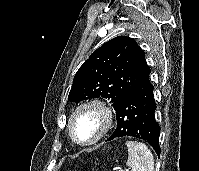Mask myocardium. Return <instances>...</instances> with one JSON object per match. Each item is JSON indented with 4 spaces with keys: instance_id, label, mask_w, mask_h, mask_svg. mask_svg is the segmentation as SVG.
Wrapping results in <instances>:
<instances>
[{
    "instance_id": "myocardium-1",
    "label": "myocardium",
    "mask_w": 199,
    "mask_h": 171,
    "mask_svg": "<svg viewBox=\"0 0 199 171\" xmlns=\"http://www.w3.org/2000/svg\"><path fill=\"white\" fill-rule=\"evenodd\" d=\"M87 109L94 110L101 118L102 124H101V128L99 132L92 140L87 141V142H82V141H79L74 134L73 121L81 111L87 110ZM113 119H114L113 110L104 101L99 100V99H89V100L83 101L73 109V111L71 112L68 118L67 128H68L69 136L74 143L80 146H91L97 143L98 141H100L108 133V131L112 127Z\"/></svg>"
}]
</instances>
